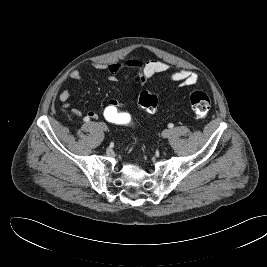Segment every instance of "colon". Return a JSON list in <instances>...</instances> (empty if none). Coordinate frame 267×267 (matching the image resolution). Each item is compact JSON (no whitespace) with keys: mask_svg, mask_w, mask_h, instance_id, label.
<instances>
[{"mask_svg":"<svg viewBox=\"0 0 267 267\" xmlns=\"http://www.w3.org/2000/svg\"><path fill=\"white\" fill-rule=\"evenodd\" d=\"M138 105L153 114L157 111L158 101L156 96L149 91H142L138 96ZM189 102L197 118H205L211 107L209 97L201 91H194L190 94ZM102 118L110 124L128 126L131 124V117L124 112L120 106L108 102L101 111Z\"/></svg>","mask_w":267,"mask_h":267,"instance_id":"obj_1","label":"colon"}]
</instances>
